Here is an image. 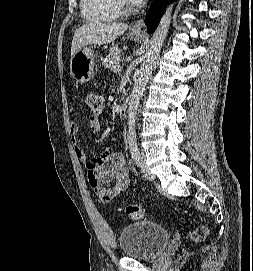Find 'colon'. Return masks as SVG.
Instances as JSON below:
<instances>
[{
    "instance_id": "colon-1",
    "label": "colon",
    "mask_w": 253,
    "mask_h": 271,
    "mask_svg": "<svg viewBox=\"0 0 253 271\" xmlns=\"http://www.w3.org/2000/svg\"><path fill=\"white\" fill-rule=\"evenodd\" d=\"M85 101L88 107L93 113H100L103 108V99L101 95L95 92H87L85 95ZM126 216L131 220H140L143 218L142 207L134 204H130L124 207ZM208 230L204 226H198L190 232V238L193 241L199 242L206 238Z\"/></svg>"
}]
</instances>
